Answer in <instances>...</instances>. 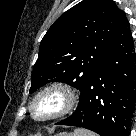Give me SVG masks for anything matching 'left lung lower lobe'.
Segmentation results:
<instances>
[{
    "mask_svg": "<svg viewBox=\"0 0 136 136\" xmlns=\"http://www.w3.org/2000/svg\"><path fill=\"white\" fill-rule=\"evenodd\" d=\"M133 38L123 21L100 65L81 90L76 111L60 125L78 126L101 136H128L135 106Z\"/></svg>",
    "mask_w": 136,
    "mask_h": 136,
    "instance_id": "left-lung-lower-lobe-1",
    "label": "left lung lower lobe"
}]
</instances>
